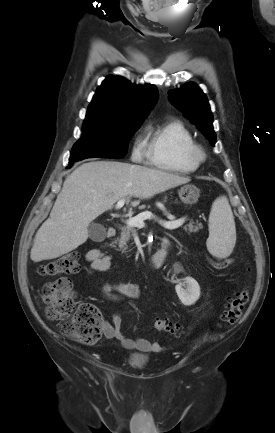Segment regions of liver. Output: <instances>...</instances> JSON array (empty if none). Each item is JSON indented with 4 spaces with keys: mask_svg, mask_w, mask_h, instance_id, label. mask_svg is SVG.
<instances>
[{
    "mask_svg": "<svg viewBox=\"0 0 275 433\" xmlns=\"http://www.w3.org/2000/svg\"><path fill=\"white\" fill-rule=\"evenodd\" d=\"M188 182V177L141 165L84 163L66 177L49 218L35 235L30 258L40 262L75 250L86 242L89 224L121 199H148Z\"/></svg>",
    "mask_w": 275,
    "mask_h": 433,
    "instance_id": "1",
    "label": "liver"
}]
</instances>
